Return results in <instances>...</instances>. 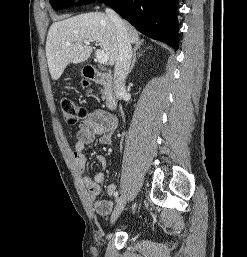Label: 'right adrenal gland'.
Segmentation results:
<instances>
[{
    "instance_id": "1",
    "label": "right adrenal gland",
    "mask_w": 247,
    "mask_h": 257,
    "mask_svg": "<svg viewBox=\"0 0 247 257\" xmlns=\"http://www.w3.org/2000/svg\"><path fill=\"white\" fill-rule=\"evenodd\" d=\"M141 46H142V43H137V44L135 45V47H134V50H133V59H132V62H131V65H130V68H129V72H128V73H130V72L132 71V69H133V67H134V65H135V62H136V60H137V57H140V56L142 55V53H141V54H138V56H137V51L140 50Z\"/></svg>"
}]
</instances>
